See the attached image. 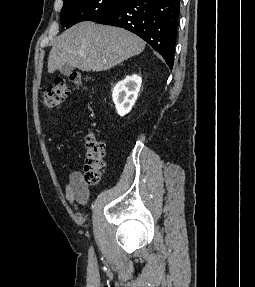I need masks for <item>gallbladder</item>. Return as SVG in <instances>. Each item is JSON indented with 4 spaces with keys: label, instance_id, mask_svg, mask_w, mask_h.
I'll use <instances>...</instances> for the list:
<instances>
[{
    "label": "gallbladder",
    "instance_id": "obj_1",
    "mask_svg": "<svg viewBox=\"0 0 255 287\" xmlns=\"http://www.w3.org/2000/svg\"><path fill=\"white\" fill-rule=\"evenodd\" d=\"M59 72H61V74H64V76H69V74H71V72H73V70H75L74 66H61V68H58Z\"/></svg>",
    "mask_w": 255,
    "mask_h": 287
}]
</instances>
